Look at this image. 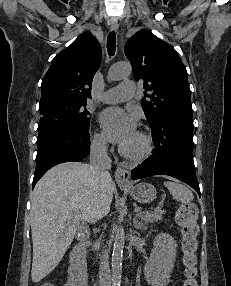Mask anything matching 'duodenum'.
I'll return each instance as SVG.
<instances>
[{
	"label": "duodenum",
	"mask_w": 231,
	"mask_h": 286,
	"mask_svg": "<svg viewBox=\"0 0 231 286\" xmlns=\"http://www.w3.org/2000/svg\"><path fill=\"white\" fill-rule=\"evenodd\" d=\"M88 244V236L87 235H83L81 237V245H80V250H82L84 247H86ZM81 251H79L80 253Z\"/></svg>",
	"instance_id": "obj_1"
}]
</instances>
